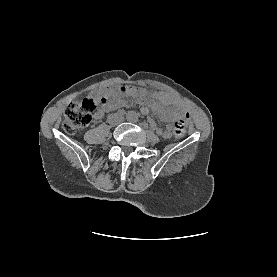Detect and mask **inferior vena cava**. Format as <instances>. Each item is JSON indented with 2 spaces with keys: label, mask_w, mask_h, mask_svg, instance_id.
Here are the masks:
<instances>
[{
  "label": "inferior vena cava",
  "mask_w": 277,
  "mask_h": 277,
  "mask_svg": "<svg viewBox=\"0 0 277 277\" xmlns=\"http://www.w3.org/2000/svg\"><path fill=\"white\" fill-rule=\"evenodd\" d=\"M122 121H123V117L119 119V122H118V123H120V122H122Z\"/></svg>",
  "instance_id": "1"
}]
</instances>
